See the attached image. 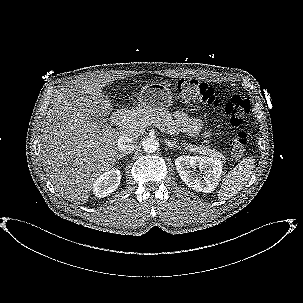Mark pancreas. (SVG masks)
I'll return each mask as SVG.
<instances>
[{
  "instance_id": "obj_1",
  "label": "pancreas",
  "mask_w": 303,
  "mask_h": 303,
  "mask_svg": "<svg viewBox=\"0 0 303 303\" xmlns=\"http://www.w3.org/2000/svg\"><path fill=\"white\" fill-rule=\"evenodd\" d=\"M151 121L160 123L166 129L168 134L175 135L177 133V124L173 119L172 114L166 110L154 111L134 109L126 114L123 127L130 132L140 131ZM182 145H184L185 149L189 150L190 152L206 155L214 159H219L221 162H225V157L219 151L210 149L208 146H196L185 143Z\"/></svg>"
}]
</instances>
